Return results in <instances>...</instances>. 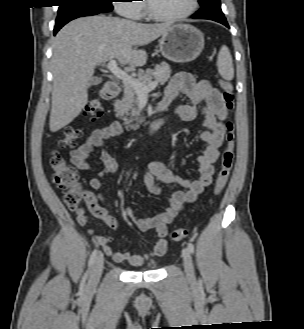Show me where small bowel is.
Returning a JSON list of instances; mask_svg holds the SVG:
<instances>
[{"label":"small bowel","mask_w":304,"mask_h":329,"mask_svg":"<svg viewBox=\"0 0 304 329\" xmlns=\"http://www.w3.org/2000/svg\"><path fill=\"white\" fill-rule=\"evenodd\" d=\"M187 98L188 103L180 102L181 97ZM175 105V113L185 122L193 121L198 116L203 117V126L200 137L205 143L203 153L198 157L199 178L189 180L174 174L161 162H150L147 165L144 183L152 194L162 192L161 185H179L170 197L166 210L152 218H139L132 208L125 209V215L139 230L155 229L158 240L153 244L152 250L147 255L132 254L127 250L115 251L110 247L112 237L95 235L92 230L89 233L103 252L117 262L128 261L132 265H140L151 256L162 255L167 249V227L169 223L182 210L185 203L194 202L209 186L214 175V163L219 157V150L223 144L226 129L224 121L227 118V110L222 94L208 81L196 82L192 75L179 72L174 75L166 88L164 97L160 103L163 109ZM123 131L118 121H113L108 126L94 130L87 140L74 149L70 156L71 162L81 171L91 170L89 159L95 149H101V161L104 165L89 182L91 189L84 190V201L88 211L96 218L104 221L111 229H118V222L111 216L106 208L100 205L105 201L100 192L103 179L119 170L118 161L105 149L104 144L110 138L118 136ZM77 222L84 226L88 223V217L83 210H77Z\"/></svg>","instance_id":"c3829d8e"}]
</instances>
